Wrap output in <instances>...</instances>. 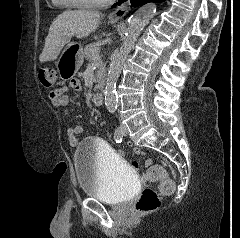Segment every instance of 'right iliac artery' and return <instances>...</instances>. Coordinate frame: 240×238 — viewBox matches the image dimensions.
I'll return each instance as SVG.
<instances>
[{
	"label": "right iliac artery",
	"mask_w": 240,
	"mask_h": 238,
	"mask_svg": "<svg viewBox=\"0 0 240 238\" xmlns=\"http://www.w3.org/2000/svg\"><path fill=\"white\" fill-rule=\"evenodd\" d=\"M123 133H122V130L118 127L116 130H115V133H114V139L116 141V143H121L122 142V139H123Z\"/></svg>",
	"instance_id": "1"
}]
</instances>
